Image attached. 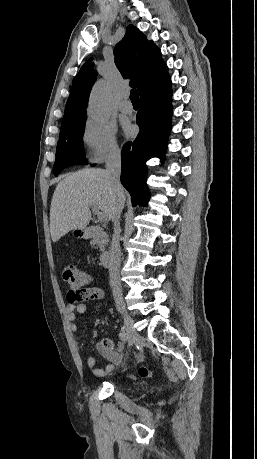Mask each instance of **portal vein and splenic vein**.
<instances>
[{
    "mask_svg": "<svg viewBox=\"0 0 257 459\" xmlns=\"http://www.w3.org/2000/svg\"><path fill=\"white\" fill-rule=\"evenodd\" d=\"M92 211H93L94 214L97 215V218H98L99 221H105V216H104V214H103L102 212H100V211L97 209V207L92 206Z\"/></svg>",
    "mask_w": 257,
    "mask_h": 459,
    "instance_id": "portal-vein-and-splenic-vein-1",
    "label": "portal vein and splenic vein"
}]
</instances>
